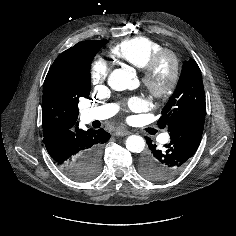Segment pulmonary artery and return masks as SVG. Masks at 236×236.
<instances>
[{
	"mask_svg": "<svg viewBox=\"0 0 236 236\" xmlns=\"http://www.w3.org/2000/svg\"><path fill=\"white\" fill-rule=\"evenodd\" d=\"M116 106L114 104H107L100 107L90 108L83 112V118L85 122H91L94 120H104L113 116L116 112ZM162 142H168V134H164L161 138Z\"/></svg>",
	"mask_w": 236,
	"mask_h": 236,
	"instance_id": "pulmonary-artery-1",
	"label": "pulmonary artery"
}]
</instances>
